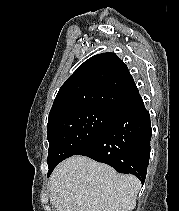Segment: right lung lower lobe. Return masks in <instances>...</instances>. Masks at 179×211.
Segmentation results:
<instances>
[{
	"instance_id": "right-lung-lower-lobe-1",
	"label": "right lung lower lobe",
	"mask_w": 179,
	"mask_h": 211,
	"mask_svg": "<svg viewBox=\"0 0 179 211\" xmlns=\"http://www.w3.org/2000/svg\"><path fill=\"white\" fill-rule=\"evenodd\" d=\"M150 114L139 92L120 107L101 135L75 155L87 156L145 181L150 157ZM51 173L48 174V176Z\"/></svg>"
}]
</instances>
